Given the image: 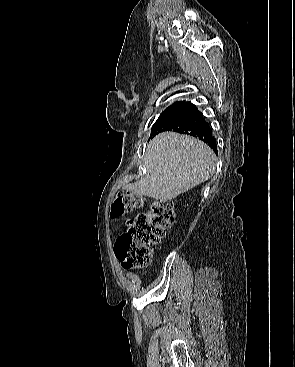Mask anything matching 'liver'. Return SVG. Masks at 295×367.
I'll return each mask as SVG.
<instances>
[{
	"label": "liver",
	"mask_w": 295,
	"mask_h": 367,
	"mask_svg": "<svg viewBox=\"0 0 295 367\" xmlns=\"http://www.w3.org/2000/svg\"><path fill=\"white\" fill-rule=\"evenodd\" d=\"M145 167V176L128 189L166 202L207 181L215 172L216 156L196 138L163 132L149 142Z\"/></svg>",
	"instance_id": "liver-1"
}]
</instances>
